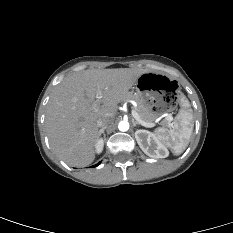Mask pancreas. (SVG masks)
Masks as SVG:
<instances>
[{
  "mask_svg": "<svg viewBox=\"0 0 233 233\" xmlns=\"http://www.w3.org/2000/svg\"><path fill=\"white\" fill-rule=\"evenodd\" d=\"M129 99H133L137 102L136 112L140 116V118L146 122H153L158 115L152 111L151 107L145 104L136 94L130 93L128 95Z\"/></svg>",
  "mask_w": 233,
  "mask_h": 233,
  "instance_id": "cf45deb5",
  "label": "pancreas"
}]
</instances>
